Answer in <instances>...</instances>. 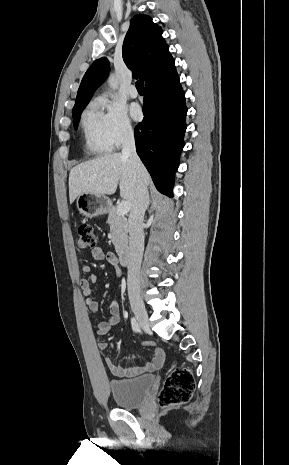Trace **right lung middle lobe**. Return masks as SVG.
I'll return each mask as SVG.
<instances>
[{
  "label": "right lung middle lobe",
  "instance_id": "obj_1",
  "mask_svg": "<svg viewBox=\"0 0 289 465\" xmlns=\"http://www.w3.org/2000/svg\"><path fill=\"white\" fill-rule=\"evenodd\" d=\"M88 102L89 100L79 101V102H76L73 107L72 114H73V124H74L75 129L78 126L80 115L83 109L85 108V106L88 104Z\"/></svg>",
  "mask_w": 289,
  "mask_h": 465
}]
</instances>
